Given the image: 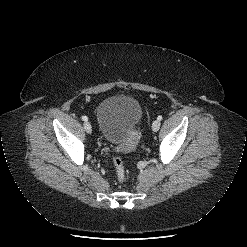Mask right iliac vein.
<instances>
[{
	"label": "right iliac vein",
	"mask_w": 247,
	"mask_h": 247,
	"mask_svg": "<svg viewBox=\"0 0 247 247\" xmlns=\"http://www.w3.org/2000/svg\"><path fill=\"white\" fill-rule=\"evenodd\" d=\"M84 129H85V131H86L87 133H89V134L92 133V126H91V124H90L89 122H87V121L84 123Z\"/></svg>",
	"instance_id": "63e3f726"
}]
</instances>
